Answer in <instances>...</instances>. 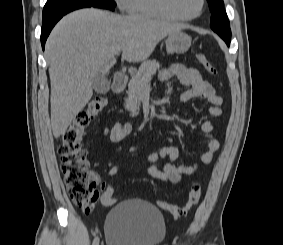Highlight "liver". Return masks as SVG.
Segmentation results:
<instances>
[{"label":"liver","mask_w":283,"mask_h":245,"mask_svg":"<svg viewBox=\"0 0 283 245\" xmlns=\"http://www.w3.org/2000/svg\"><path fill=\"white\" fill-rule=\"evenodd\" d=\"M180 24L121 16L94 8L63 17L46 43L51 82V127L55 138L65 134L93 95L92 78L106 74L122 52L128 62L146 60Z\"/></svg>","instance_id":"6515ba94"}]
</instances>
